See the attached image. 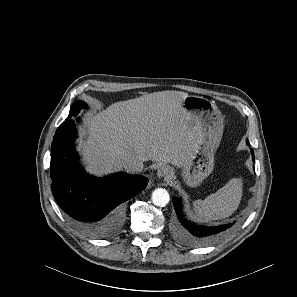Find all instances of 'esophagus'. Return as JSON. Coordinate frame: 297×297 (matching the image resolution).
<instances>
[{"mask_svg": "<svg viewBox=\"0 0 297 297\" xmlns=\"http://www.w3.org/2000/svg\"><path fill=\"white\" fill-rule=\"evenodd\" d=\"M172 174V170L167 166H161L157 169V176L159 178H170Z\"/></svg>", "mask_w": 297, "mask_h": 297, "instance_id": "obj_1", "label": "esophagus"}]
</instances>
